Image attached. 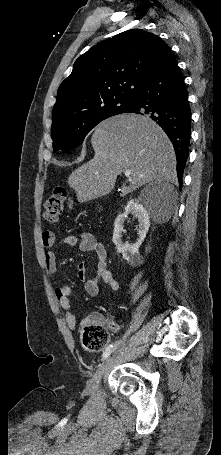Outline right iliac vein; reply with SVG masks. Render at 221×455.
<instances>
[{"label":"right iliac vein","instance_id":"right-iliac-vein-1","mask_svg":"<svg viewBox=\"0 0 221 455\" xmlns=\"http://www.w3.org/2000/svg\"><path fill=\"white\" fill-rule=\"evenodd\" d=\"M111 361H112V357L111 356L106 358L104 360V362L100 365V367L98 368V370L96 371L94 376L89 380V382L87 383V388H86L87 392L89 394L95 392L98 389L99 383H100L103 375L108 370Z\"/></svg>","mask_w":221,"mask_h":455}]
</instances>
